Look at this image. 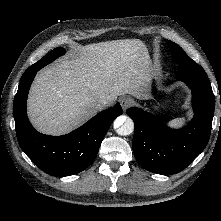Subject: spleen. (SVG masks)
<instances>
[{
  "mask_svg": "<svg viewBox=\"0 0 221 221\" xmlns=\"http://www.w3.org/2000/svg\"><path fill=\"white\" fill-rule=\"evenodd\" d=\"M185 118H177L169 122L171 126H181L185 122Z\"/></svg>",
  "mask_w": 221,
  "mask_h": 221,
  "instance_id": "1",
  "label": "spleen"
}]
</instances>
